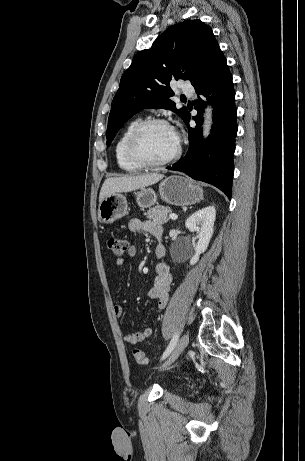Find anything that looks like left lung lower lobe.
<instances>
[{"instance_id": "1", "label": "left lung lower lobe", "mask_w": 305, "mask_h": 461, "mask_svg": "<svg viewBox=\"0 0 305 461\" xmlns=\"http://www.w3.org/2000/svg\"><path fill=\"white\" fill-rule=\"evenodd\" d=\"M197 94L208 96L213 105V128L207 140H202V113L206 103L195 101V128H189V149L184 158L169 170L181 171L193 179L210 183L231 198L234 173L233 154L237 134L235 92L227 61L219 52L207 72L193 85ZM190 113L183 119L189 126Z\"/></svg>"}]
</instances>
